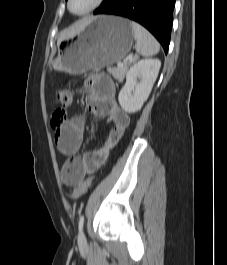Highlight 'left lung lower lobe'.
Segmentation results:
<instances>
[{
  "label": "left lung lower lobe",
  "mask_w": 227,
  "mask_h": 265,
  "mask_svg": "<svg viewBox=\"0 0 227 265\" xmlns=\"http://www.w3.org/2000/svg\"><path fill=\"white\" fill-rule=\"evenodd\" d=\"M175 0H108L94 14H112L132 19L147 28L167 53Z\"/></svg>",
  "instance_id": "obj_1"
}]
</instances>
